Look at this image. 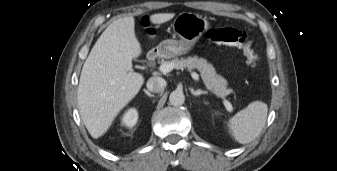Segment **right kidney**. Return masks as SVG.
Returning a JSON list of instances; mask_svg holds the SVG:
<instances>
[{
    "instance_id": "ca27d5eb",
    "label": "right kidney",
    "mask_w": 337,
    "mask_h": 171,
    "mask_svg": "<svg viewBox=\"0 0 337 171\" xmlns=\"http://www.w3.org/2000/svg\"><path fill=\"white\" fill-rule=\"evenodd\" d=\"M137 120H138V112L136 109L131 108L124 113L121 123L123 126L132 128L136 125Z\"/></svg>"
}]
</instances>
